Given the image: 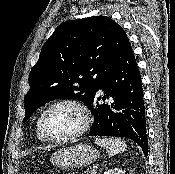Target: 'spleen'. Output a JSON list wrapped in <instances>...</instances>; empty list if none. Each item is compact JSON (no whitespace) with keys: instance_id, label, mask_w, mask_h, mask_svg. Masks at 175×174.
Instances as JSON below:
<instances>
[{"instance_id":"1","label":"spleen","mask_w":175,"mask_h":174,"mask_svg":"<svg viewBox=\"0 0 175 174\" xmlns=\"http://www.w3.org/2000/svg\"><path fill=\"white\" fill-rule=\"evenodd\" d=\"M95 143L105 148L112 156L126 151L127 148L126 143L118 138H96Z\"/></svg>"}]
</instances>
